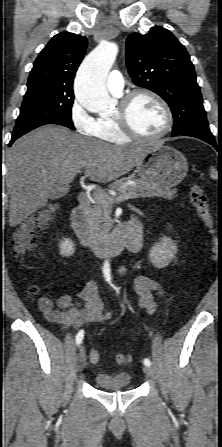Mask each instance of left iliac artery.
<instances>
[{
    "label": "left iliac artery",
    "instance_id": "44dca946",
    "mask_svg": "<svg viewBox=\"0 0 222 447\" xmlns=\"http://www.w3.org/2000/svg\"><path fill=\"white\" fill-rule=\"evenodd\" d=\"M143 362H144V364L147 365V366H150V365H151V361H150L148 358H145Z\"/></svg>",
    "mask_w": 222,
    "mask_h": 447
}]
</instances>
